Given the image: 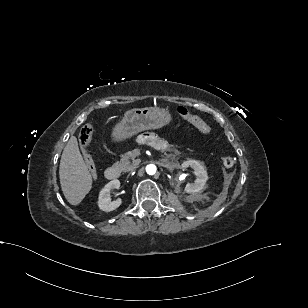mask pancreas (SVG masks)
I'll list each match as a JSON object with an SVG mask.
<instances>
[{
	"label": "pancreas",
	"instance_id": "pancreas-1",
	"mask_svg": "<svg viewBox=\"0 0 308 308\" xmlns=\"http://www.w3.org/2000/svg\"><path fill=\"white\" fill-rule=\"evenodd\" d=\"M140 160L135 159V156L133 155V152L128 151L125 153L120 162H116L115 166L119 167L122 171H132L134 170L137 165L139 164Z\"/></svg>",
	"mask_w": 308,
	"mask_h": 308
}]
</instances>
